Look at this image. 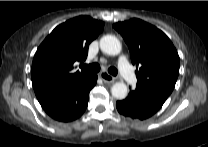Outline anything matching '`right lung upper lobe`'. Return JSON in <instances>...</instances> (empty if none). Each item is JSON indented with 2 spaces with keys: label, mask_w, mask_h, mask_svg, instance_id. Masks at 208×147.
Masks as SVG:
<instances>
[{
  "label": "right lung upper lobe",
  "mask_w": 208,
  "mask_h": 147,
  "mask_svg": "<svg viewBox=\"0 0 208 147\" xmlns=\"http://www.w3.org/2000/svg\"><path fill=\"white\" fill-rule=\"evenodd\" d=\"M103 27L102 21L79 16L60 24L46 37L32 63V84L39 102L71 91L91 75L73 71V65L87 58L89 44Z\"/></svg>",
  "instance_id": "right-lung-upper-lobe-1"
}]
</instances>
